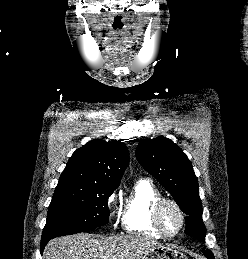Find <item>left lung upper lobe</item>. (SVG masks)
I'll list each match as a JSON object with an SVG mask.
<instances>
[{
	"label": "left lung upper lobe",
	"instance_id": "5c2ea615",
	"mask_svg": "<svg viewBox=\"0 0 248 259\" xmlns=\"http://www.w3.org/2000/svg\"><path fill=\"white\" fill-rule=\"evenodd\" d=\"M136 158L188 215L185 233L204 241L205 226L198 181L186 154L170 139L158 137L141 141L136 148Z\"/></svg>",
	"mask_w": 248,
	"mask_h": 259
}]
</instances>
